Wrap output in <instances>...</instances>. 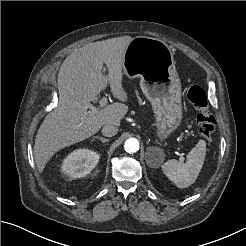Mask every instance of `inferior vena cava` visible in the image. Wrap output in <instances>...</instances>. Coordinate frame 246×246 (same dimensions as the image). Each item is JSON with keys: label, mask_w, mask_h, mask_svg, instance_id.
<instances>
[{"label": "inferior vena cava", "mask_w": 246, "mask_h": 246, "mask_svg": "<svg viewBox=\"0 0 246 246\" xmlns=\"http://www.w3.org/2000/svg\"><path fill=\"white\" fill-rule=\"evenodd\" d=\"M117 132H118V128L117 126L114 125L107 124L102 128V134L106 137L115 136Z\"/></svg>", "instance_id": "inferior-vena-cava-1"}]
</instances>
